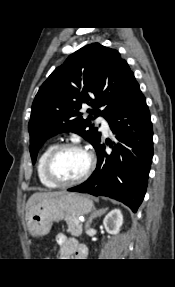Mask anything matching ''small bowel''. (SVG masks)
Wrapping results in <instances>:
<instances>
[{
    "label": "small bowel",
    "instance_id": "c3829d8e",
    "mask_svg": "<svg viewBox=\"0 0 175 287\" xmlns=\"http://www.w3.org/2000/svg\"><path fill=\"white\" fill-rule=\"evenodd\" d=\"M55 242L59 246V256L61 259L72 257L83 259L87 256V249L83 245H79L74 238H68L66 235L60 233L55 236Z\"/></svg>",
    "mask_w": 175,
    "mask_h": 287
}]
</instances>
